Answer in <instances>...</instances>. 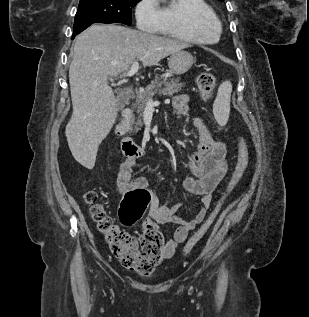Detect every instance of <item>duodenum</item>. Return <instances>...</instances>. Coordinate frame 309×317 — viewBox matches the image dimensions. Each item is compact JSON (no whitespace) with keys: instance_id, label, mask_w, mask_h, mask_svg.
Instances as JSON below:
<instances>
[{"instance_id":"1","label":"duodenum","mask_w":309,"mask_h":317,"mask_svg":"<svg viewBox=\"0 0 309 317\" xmlns=\"http://www.w3.org/2000/svg\"><path fill=\"white\" fill-rule=\"evenodd\" d=\"M132 116V110L125 108L122 111L121 121L116 127V133L121 137V148L125 155L133 158L141 157L146 153V149L137 145L127 135V122Z\"/></svg>"}]
</instances>
